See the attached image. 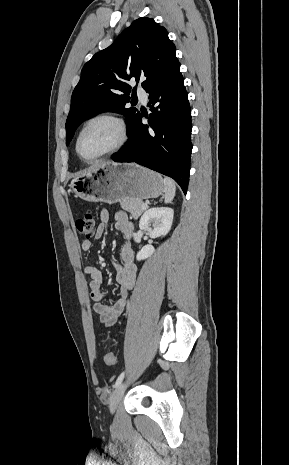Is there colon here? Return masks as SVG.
Listing matches in <instances>:
<instances>
[{
	"instance_id": "1",
	"label": "colon",
	"mask_w": 289,
	"mask_h": 465,
	"mask_svg": "<svg viewBox=\"0 0 289 465\" xmlns=\"http://www.w3.org/2000/svg\"><path fill=\"white\" fill-rule=\"evenodd\" d=\"M76 230L79 234L90 238L95 232V218L93 213L88 210L80 215L75 221ZM104 361L107 365H114L116 357L113 352H107L104 356Z\"/></svg>"
}]
</instances>
